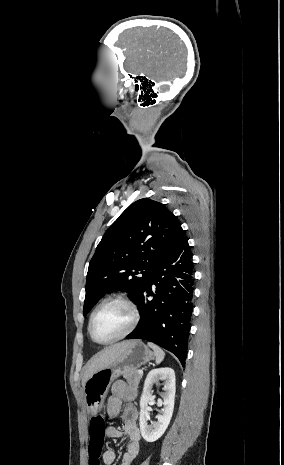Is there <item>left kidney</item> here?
I'll return each instance as SVG.
<instances>
[{
	"instance_id": "1",
	"label": "left kidney",
	"mask_w": 284,
	"mask_h": 465,
	"mask_svg": "<svg viewBox=\"0 0 284 465\" xmlns=\"http://www.w3.org/2000/svg\"><path fill=\"white\" fill-rule=\"evenodd\" d=\"M158 381H164L163 391L165 393L162 395L163 401H158V405H164V407L159 411L161 415H157L156 423L147 425L148 401L153 399L150 389L153 383H158ZM175 393V373L173 369L165 367V369H153L148 373L140 399L139 417L141 435L147 443H154L164 435L173 415Z\"/></svg>"
}]
</instances>
